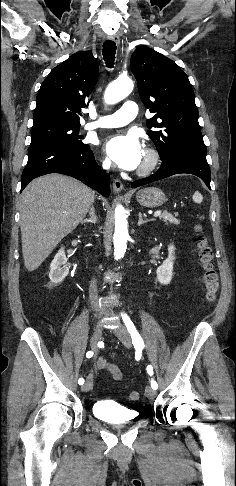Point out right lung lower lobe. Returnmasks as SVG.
I'll return each instance as SVG.
<instances>
[{
    "mask_svg": "<svg viewBox=\"0 0 236 486\" xmlns=\"http://www.w3.org/2000/svg\"><path fill=\"white\" fill-rule=\"evenodd\" d=\"M49 173L74 177L103 196L110 195V176L98 166L89 145L84 147L54 144L30 146L28 162L21 176V191L34 178Z\"/></svg>",
    "mask_w": 236,
    "mask_h": 486,
    "instance_id": "98d812e1",
    "label": "right lung lower lobe"
}]
</instances>
